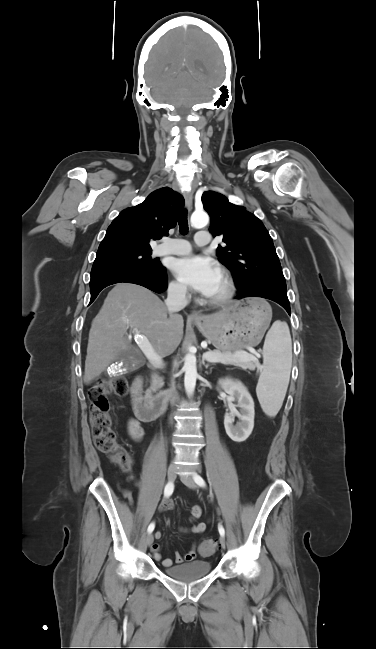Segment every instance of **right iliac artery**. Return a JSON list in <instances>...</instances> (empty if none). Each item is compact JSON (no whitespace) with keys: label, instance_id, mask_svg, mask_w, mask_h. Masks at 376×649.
Here are the masks:
<instances>
[{"label":"right iliac artery","instance_id":"right-iliac-artery-1","mask_svg":"<svg viewBox=\"0 0 376 649\" xmlns=\"http://www.w3.org/2000/svg\"><path fill=\"white\" fill-rule=\"evenodd\" d=\"M173 490H174L173 482H168L167 485L165 486V489H164V496L169 497L173 493ZM154 528H155V524L152 522L148 526V529H147L148 533H151L154 530Z\"/></svg>","mask_w":376,"mask_h":649}]
</instances>
